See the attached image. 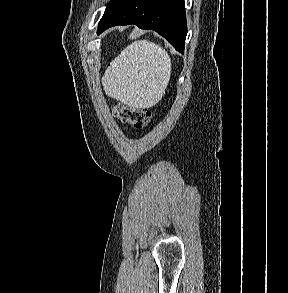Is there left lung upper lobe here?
<instances>
[{
	"mask_svg": "<svg viewBox=\"0 0 288 293\" xmlns=\"http://www.w3.org/2000/svg\"><path fill=\"white\" fill-rule=\"evenodd\" d=\"M121 0H111L110 2H109V4L107 5V8H106V10H105V12H104V15H103V17H102V19L105 17V16H107L111 11H112V9L120 2ZM101 19V20H102Z\"/></svg>",
	"mask_w": 288,
	"mask_h": 293,
	"instance_id": "5c2ea615",
	"label": "left lung upper lobe"
}]
</instances>
